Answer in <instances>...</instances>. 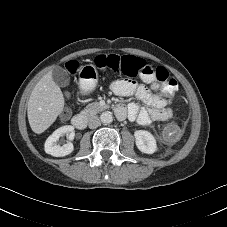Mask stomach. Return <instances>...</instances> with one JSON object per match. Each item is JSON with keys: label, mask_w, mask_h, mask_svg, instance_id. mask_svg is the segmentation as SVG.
<instances>
[{"label": "stomach", "mask_w": 227, "mask_h": 227, "mask_svg": "<svg viewBox=\"0 0 227 227\" xmlns=\"http://www.w3.org/2000/svg\"><path fill=\"white\" fill-rule=\"evenodd\" d=\"M80 87L85 91H92L98 82V72L93 65H85L80 69Z\"/></svg>", "instance_id": "1"}]
</instances>
